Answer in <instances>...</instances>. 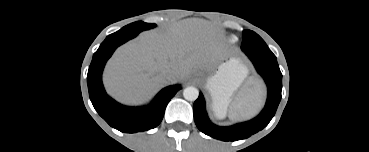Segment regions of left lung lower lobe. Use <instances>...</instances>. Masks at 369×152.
<instances>
[{
  "instance_id": "obj_1",
  "label": "left lung lower lobe",
  "mask_w": 369,
  "mask_h": 152,
  "mask_svg": "<svg viewBox=\"0 0 369 152\" xmlns=\"http://www.w3.org/2000/svg\"><path fill=\"white\" fill-rule=\"evenodd\" d=\"M268 88V98L263 111L253 120L230 127H219L210 122L205 110V100L200 93L194 102V120L197 128L206 135L222 141L246 139L265 128L271 121L281 100L282 74L276 58L247 55Z\"/></svg>"
}]
</instances>
